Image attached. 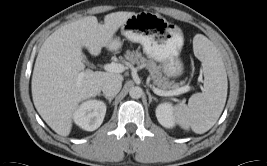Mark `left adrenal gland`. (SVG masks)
<instances>
[{
  "mask_svg": "<svg viewBox=\"0 0 267 166\" xmlns=\"http://www.w3.org/2000/svg\"><path fill=\"white\" fill-rule=\"evenodd\" d=\"M147 95L149 97V104L152 102V100L157 101V99L154 96H152L148 90H147Z\"/></svg>",
  "mask_w": 267,
  "mask_h": 166,
  "instance_id": "obj_1",
  "label": "left adrenal gland"
}]
</instances>
